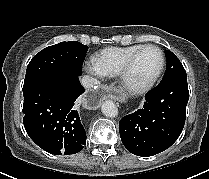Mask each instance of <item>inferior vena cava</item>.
Here are the masks:
<instances>
[{
	"instance_id": "obj_1",
	"label": "inferior vena cava",
	"mask_w": 209,
	"mask_h": 179,
	"mask_svg": "<svg viewBox=\"0 0 209 179\" xmlns=\"http://www.w3.org/2000/svg\"><path fill=\"white\" fill-rule=\"evenodd\" d=\"M81 83H82L83 87L89 89V88H92V87L98 85L99 81L96 78L86 75L82 78Z\"/></svg>"
}]
</instances>
